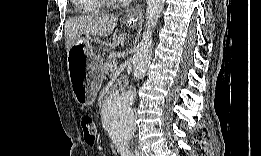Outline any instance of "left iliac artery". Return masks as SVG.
<instances>
[{"mask_svg": "<svg viewBox=\"0 0 261 156\" xmlns=\"http://www.w3.org/2000/svg\"><path fill=\"white\" fill-rule=\"evenodd\" d=\"M129 141H130V137L115 140L116 148L122 156H133L134 155L129 148Z\"/></svg>", "mask_w": 261, "mask_h": 156, "instance_id": "left-iliac-artery-1", "label": "left iliac artery"}]
</instances>
